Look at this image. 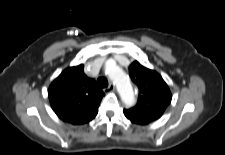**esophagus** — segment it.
Listing matches in <instances>:
<instances>
[{
    "label": "esophagus",
    "mask_w": 225,
    "mask_h": 155,
    "mask_svg": "<svg viewBox=\"0 0 225 155\" xmlns=\"http://www.w3.org/2000/svg\"><path fill=\"white\" fill-rule=\"evenodd\" d=\"M115 90V85L110 83L109 86L105 89V91L113 92Z\"/></svg>",
    "instance_id": "34e87169"
}]
</instances>
